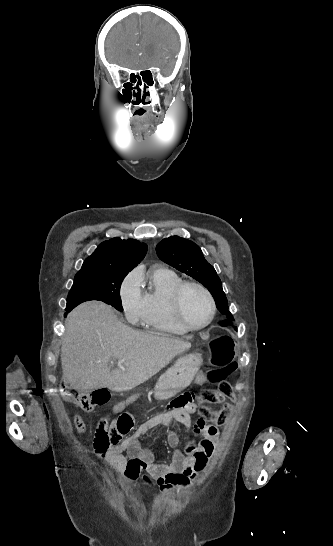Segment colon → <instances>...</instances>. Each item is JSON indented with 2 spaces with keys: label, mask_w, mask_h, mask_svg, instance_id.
<instances>
[{
  "label": "colon",
  "mask_w": 333,
  "mask_h": 546,
  "mask_svg": "<svg viewBox=\"0 0 333 546\" xmlns=\"http://www.w3.org/2000/svg\"><path fill=\"white\" fill-rule=\"evenodd\" d=\"M211 352V368L206 372L205 380L216 382L218 389L210 393L209 399L215 403H222L223 399L234 401L235 393L228 382V379L232 375L239 374L240 364L238 361H233L234 346L231 340L226 336H217L210 342ZM236 383L239 381L237 378L234 380ZM70 401L78 408L84 411H92L95 407L101 406L108 402L109 395L105 391L96 390L93 392H78L76 390H68ZM193 397L190 394H185L178 397L174 403V407H183L191 405ZM74 425L78 432L85 431V424L81 417L76 416L74 418ZM205 428V421L199 418L195 424L197 432H203ZM130 429V420L124 415H120L118 418L108 421L102 419L99 422L94 436V449L95 452L104 457L108 451L115 445H117L123 436H125Z\"/></svg>",
  "instance_id": "5ec220e1"
}]
</instances>
